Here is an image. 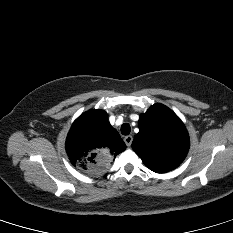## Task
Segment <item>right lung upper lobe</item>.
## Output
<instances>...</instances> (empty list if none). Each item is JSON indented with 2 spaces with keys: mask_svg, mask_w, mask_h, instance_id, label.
<instances>
[{
  "mask_svg": "<svg viewBox=\"0 0 233 233\" xmlns=\"http://www.w3.org/2000/svg\"><path fill=\"white\" fill-rule=\"evenodd\" d=\"M125 149L124 141L103 110H90L79 116L66 140L71 163L92 175L105 172Z\"/></svg>",
  "mask_w": 233,
  "mask_h": 233,
  "instance_id": "right-lung-upper-lobe-1",
  "label": "right lung upper lobe"
}]
</instances>
